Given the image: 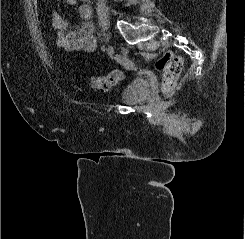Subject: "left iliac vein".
<instances>
[{
	"instance_id": "1",
	"label": "left iliac vein",
	"mask_w": 245,
	"mask_h": 239,
	"mask_svg": "<svg viewBox=\"0 0 245 239\" xmlns=\"http://www.w3.org/2000/svg\"><path fill=\"white\" fill-rule=\"evenodd\" d=\"M107 54H108L109 57H112L113 56V54H114V48H113L112 45H109L107 47Z\"/></svg>"
}]
</instances>
